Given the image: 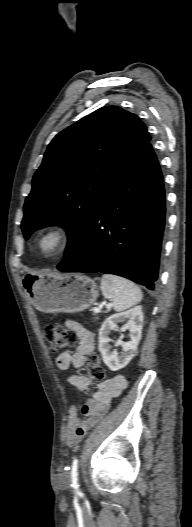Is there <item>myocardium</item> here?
<instances>
[{
	"label": "myocardium",
	"mask_w": 192,
	"mask_h": 527,
	"mask_svg": "<svg viewBox=\"0 0 192 527\" xmlns=\"http://www.w3.org/2000/svg\"><path fill=\"white\" fill-rule=\"evenodd\" d=\"M47 238H53L54 243L50 248L44 246ZM72 234L67 225L56 222L40 229L34 239L37 254L43 259H51L63 254L69 247Z\"/></svg>",
	"instance_id": "f54148a6"
}]
</instances>
